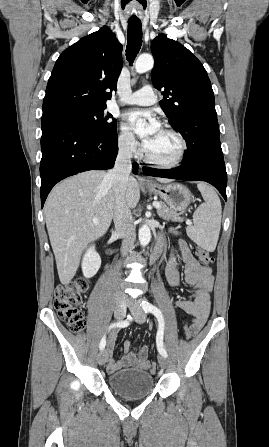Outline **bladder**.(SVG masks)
Segmentation results:
<instances>
[{"mask_svg":"<svg viewBox=\"0 0 269 447\" xmlns=\"http://www.w3.org/2000/svg\"><path fill=\"white\" fill-rule=\"evenodd\" d=\"M111 391L126 398L145 397L154 387L152 373L138 369H124L108 376Z\"/></svg>","mask_w":269,"mask_h":447,"instance_id":"obj_1","label":"bladder"}]
</instances>
